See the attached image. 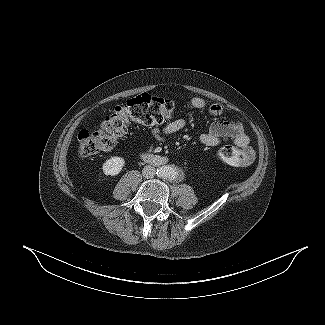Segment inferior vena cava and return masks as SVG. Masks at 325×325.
I'll return each instance as SVG.
<instances>
[{"instance_id":"1","label":"inferior vena cava","mask_w":325,"mask_h":325,"mask_svg":"<svg viewBox=\"0 0 325 325\" xmlns=\"http://www.w3.org/2000/svg\"><path fill=\"white\" fill-rule=\"evenodd\" d=\"M142 175L147 179H151L156 175V168L151 165L145 166L142 170Z\"/></svg>"}]
</instances>
